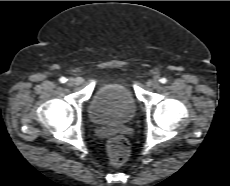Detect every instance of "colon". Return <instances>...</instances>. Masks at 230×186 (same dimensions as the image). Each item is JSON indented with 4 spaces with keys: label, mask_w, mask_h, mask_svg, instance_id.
<instances>
[{
    "label": "colon",
    "mask_w": 230,
    "mask_h": 186,
    "mask_svg": "<svg viewBox=\"0 0 230 186\" xmlns=\"http://www.w3.org/2000/svg\"><path fill=\"white\" fill-rule=\"evenodd\" d=\"M106 150L109 164L115 167L124 164L130 154L128 141L122 136L109 139Z\"/></svg>",
    "instance_id": "1"
}]
</instances>
